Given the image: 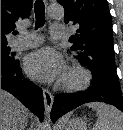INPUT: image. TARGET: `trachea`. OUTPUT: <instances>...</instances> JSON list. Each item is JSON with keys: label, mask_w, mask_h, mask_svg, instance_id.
<instances>
[{"label": "trachea", "mask_w": 123, "mask_h": 130, "mask_svg": "<svg viewBox=\"0 0 123 130\" xmlns=\"http://www.w3.org/2000/svg\"><path fill=\"white\" fill-rule=\"evenodd\" d=\"M34 12L36 17L35 28L38 29L44 25L45 6L42 0H36L34 4ZM18 32H15L17 34Z\"/></svg>", "instance_id": "1"}]
</instances>
